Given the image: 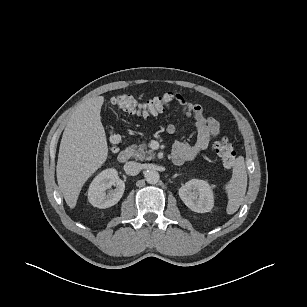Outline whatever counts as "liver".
Segmentation results:
<instances>
[{
    "label": "liver",
    "mask_w": 307,
    "mask_h": 307,
    "mask_svg": "<svg viewBox=\"0 0 307 307\" xmlns=\"http://www.w3.org/2000/svg\"><path fill=\"white\" fill-rule=\"evenodd\" d=\"M103 96L81 104L63 132L56 166L57 182L70 208H75L85 182L106 161L108 145L101 122Z\"/></svg>",
    "instance_id": "6515ba94"
}]
</instances>
